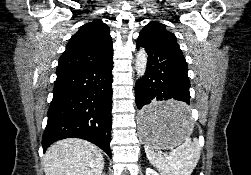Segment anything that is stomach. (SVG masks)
<instances>
[{"mask_svg":"<svg viewBox=\"0 0 251 175\" xmlns=\"http://www.w3.org/2000/svg\"><path fill=\"white\" fill-rule=\"evenodd\" d=\"M180 105L183 100H154L153 105L143 107L138 119L140 139L144 143L149 141L156 149H170L182 143L184 134H198V129H180L196 128L190 114H182V111H192V106Z\"/></svg>","mask_w":251,"mask_h":175,"instance_id":"obj_1","label":"stomach"}]
</instances>
